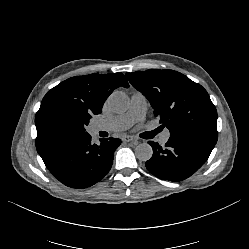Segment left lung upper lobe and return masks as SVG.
Here are the masks:
<instances>
[{
	"mask_svg": "<svg viewBox=\"0 0 249 249\" xmlns=\"http://www.w3.org/2000/svg\"><path fill=\"white\" fill-rule=\"evenodd\" d=\"M130 83L150 102L161 129L216 144L217 111L207 91L173 70L149 69L126 73Z\"/></svg>",
	"mask_w": 249,
	"mask_h": 249,
	"instance_id": "obj_1",
	"label": "left lung upper lobe"
}]
</instances>
